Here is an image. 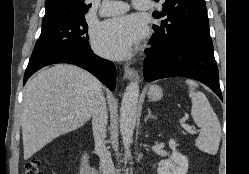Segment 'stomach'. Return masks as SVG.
<instances>
[{
	"label": "stomach",
	"mask_w": 249,
	"mask_h": 174,
	"mask_svg": "<svg viewBox=\"0 0 249 174\" xmlns=\"http://www.w3.org/2000/svg\"><path fill=\"white\" fill-rule=\"evenodd\" d=\"M148 96L152 101H158L163 96L162 89L158 85H151L148 89Z\"/></svg>",
	"instance_id": "0dacf381"
}]
</instances>
